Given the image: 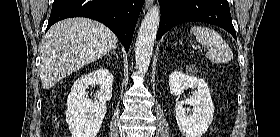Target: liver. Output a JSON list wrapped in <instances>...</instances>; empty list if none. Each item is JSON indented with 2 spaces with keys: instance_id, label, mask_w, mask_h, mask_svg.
<instances>
[{
  "instance_id": "6515ba94",
  "label": "liver",
  "mask_w": 280,
  "mask_h": 137,
  "mask_svg": "<svg viewBox=\"0 0 280 137\" xmlns=\"http://www.w3.org/2000/svg\"><path fill=\"white\" fill-rule=\"evenodd\" d=\"M117 37L105 25L87 18H69L53 25L41 51L40 78L49 89L67 75L116 48Z\"/></svg>"
}]
</instances>
